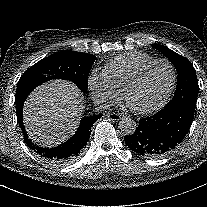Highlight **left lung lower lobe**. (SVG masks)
I'll return each mask as SVG.
<instances>
[{"mask_svg":"<svg viewBox=\"0 0 207 207\" xmlns=\"http://www.w3.org/2000/svg\"><path fill=\"white\" fill-rule=\"evenodd\" d=\"M194 112L183 106L164 108L160 112L142 118L132 135L124 137L134 152L149 158H157L171 152L188 133Z\"/></svg>","mask_w":207,"mask_h":207,"instance_id":"1","label":"left lung lower lobe"}]
</instances>
